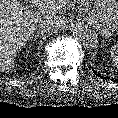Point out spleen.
<instances>
[{
  "mask_svg": "<svg viewBox=\"0 0 118 118\" xmlns=\"http://www.w3.org/2000/svg\"><path fill=\"white\" fill-rule=\"evenodd\" d=\"M110 53H111V59L118 68V43H116L110 48Z\"/></svg>",
  "mask_w": 118,
  "mask_h": 118,
  "instance_id": "obj_1",
  "label": "spleen"
}]
</instances>
